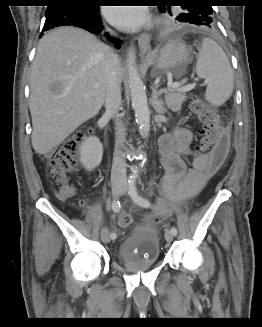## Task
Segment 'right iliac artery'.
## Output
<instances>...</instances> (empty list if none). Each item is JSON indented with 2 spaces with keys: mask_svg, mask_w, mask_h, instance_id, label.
Here are the masks:
<instances>
[{
  "mask_svg": "<svg viewBox=\"0 0 262 327\" xmlns=\"http://www.w3.org/2000/svg\"><path fill=\"white\" fill-rule=\"evenodd\" d=\"M120 208H121V205H120V202L119 200L115 199L113 202H112V210L116 213H118L120 211ZM112 239H115L116 238V234L115 233H112L111 236H110Z\"/></svg>",
  "mask_w": 262,
  "mask_h": 327,
  "instance_id": "right-iliac-artery-1",
  "label": "right iliac artery"
}]
</instances>
